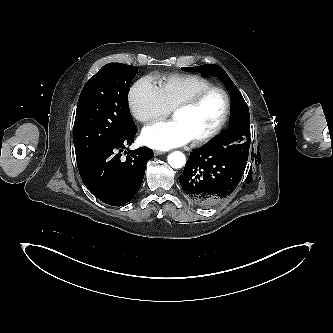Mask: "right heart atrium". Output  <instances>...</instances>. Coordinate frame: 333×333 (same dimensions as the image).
I'll use <instances>...</instances> for the list:
<instances>
[{"mask_svg": "<svg viewBox=\"0 0 333 333\" xmlns=\"http://www.w3.org/2000/svg\"><path fill=\"white\" fill-rule=\"evenodd\" d=\"M128 103L131 114L141 123L163 119L170 113L158 87L148 77L132 86Z\"/></svg>", "mask_w": 333, "mask_h": 333, "instance_id": "1", "label": "right heart atrium"}]
</instances>
